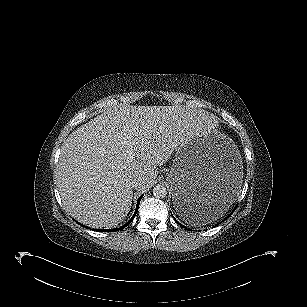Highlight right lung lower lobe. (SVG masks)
I'll list each match as a JSON object with an SVG mask.
<instances>
[{"label": "right lung lower lobe", "mask_w": 307, "mask_h": 307, "mask_svg": "<svg viewBox=\"0 0 307 307\" xmlns=\"http://www.w3.org/2000/svg\"><path fill=\"white\" fill-rule=\"evenodd\" d=\"M142 196H143V195H142ZM142 196H140V197L138 198L137 206H136V210H135V212H134V215L132 216L131 220L127 222L126 225H124V226H122V227H120V228H117V229H112V230H99V231H100V232H106V231H107V232H113V231L120 230L121 228H124V227H126L128 224H130V222L134 219V217H135V215H136V213H137V211H138L139 203H140V200H141ZM97 231H98V230H97Z\"/></svg>", "instance_id": "1"}]
</instances>
